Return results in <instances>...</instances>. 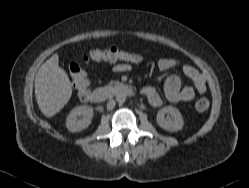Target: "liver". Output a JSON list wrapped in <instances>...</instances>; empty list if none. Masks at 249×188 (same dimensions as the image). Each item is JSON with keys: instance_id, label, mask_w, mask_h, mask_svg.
I'll list each match as a JSON object with an SVG mask.
<instances>
[{"instance_id": "6515ba94", "label": "liver", "mask_w": 249, "mask_h": 188, "mask_svg": "<svg viewBox=\"0 0 249 188\" xmlns=\"http://www.w3.org/2000/svg\"><path fill=\"white\" fill-rule=\"evenodd\" d=\"M34 88L39 109L46 117L54 116L69 102L72 86L66 71L59 67L58 53L39 68Z\"/></svg>"}]
</instances>
